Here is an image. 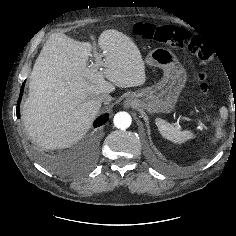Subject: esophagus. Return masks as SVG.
<instances>
[{
	"label": "esophagus",
	"mask_w": 236,
	"mask_h": 236,
	"mask_svg": "<svg viewBox=\"0 0 236 236\" xmlns=\"http://www.w3.org/2000/svg\"><path fill=\"white\" fill-rule=\"evenodd\" d=\"M131 105H132V103H131L129 100H127V101L125 102V107H126V108H129Z\"/></svg>",
	"instance_id": "34e87169"
}]
</instances>
